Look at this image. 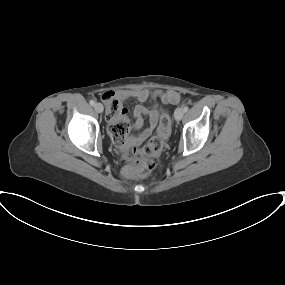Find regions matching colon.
I'll list each match as a JSON object with an SVG mask.
<instances>
[{
  "label": "colon",
  "mask_w": 285,
  "mask_h": 285,
  "mask_svg": "<svg viewBox=\"0 0 285 285\" xmlns=\"http://www.w3.org/2000/svg\"><path fill=\"white\" fill-rule=\"evenodd\" d=\"M103 100L106 103V110L111 114H118L120 111V102L109 94L104 95ZM171 119L165 114L161 117L155 136H153L146 146L142 149L134 148L132 150L136 159L130 167L126 169V174L133 177H146L155 168L153 156L160 153L164 147V141L170 134ZM110 135L113 141L118 145H124L130 131V125L127 121H119L109 126Z\"/></svg>",
  "instance_id": "5ec220e1"
}]
</instances>
